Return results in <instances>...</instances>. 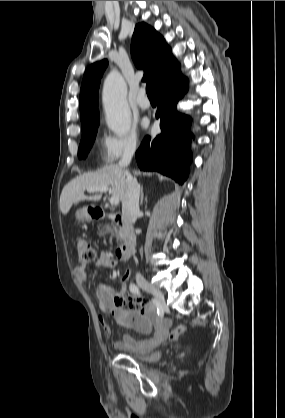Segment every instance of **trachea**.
<instances>
[{"instance_id": "obj_1", "label": "trachea", "mask_w": 285, "mask_h": 418, "mask_svg": "<svg viewBox=\"0 0 285 418\" xmlns=\"http://www.w3.org/2000/svg\"><path fill=\"white\" fill-rule=\"evenodd\" d=\"M146 92L149 98H157V93L154 87V84L151 82H148L146 85Z\"/></svg>"}]
</instances>
